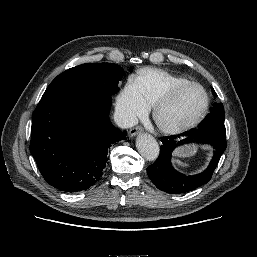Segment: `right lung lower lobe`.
<instances>
[{
	"instance_id": "98d812e1",
	"label": "right lung lower lobe",
	"mask_w": 257,
	"mask_h": 257,
	"mask_svg": "<svg viewBox=\"0 0 257 257\" xmlns=\"http://www.w3.org/2000/svg\"><path fill=\"white\" fill-rule=\"evenodd\" d=\"M111 100L97 93L40 100L32 116L30 152L48 184L77 192L100 179L110 146L127 134L109 120Z\"/></svg>"
}]
</instances>
